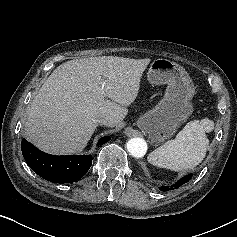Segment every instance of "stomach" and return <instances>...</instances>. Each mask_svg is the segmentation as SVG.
I'll use <instances>...</instances> for the list:
<instances>
[{"mask_svg":"<svg viewBox=\"0 0 237 237\" xmlns=\"http://www.w3.org/2000/svg\"><path fill=\"white\" fill-rule=\"evenodd\" d=\"M152 85L167 84L164 98L137 120V126L152 143L160 144L172 137L193 112L191 99L195 88L186 70L174 61L158 58L147 74Z\"/></svg>","mask_w":237,"mask_h":237,"instance_id":"0dacf381","label":"stomach"}]
</instances>
